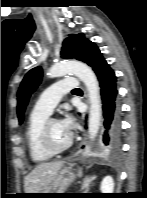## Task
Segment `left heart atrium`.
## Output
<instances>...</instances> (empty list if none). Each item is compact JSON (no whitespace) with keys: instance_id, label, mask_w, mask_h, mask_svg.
<instances>
[{"instance_id":"39dd6f15","label":"left heart atrium","mask_w":147,"mask_h":198,"mask_svg":"<svg viewBox=\"0 0 147 198\" xmlns=\"http://www.w3.org/2000/svg\"><path fill=\"white\" fill-rule=\"evenodd\" d=\"M60 124L62 128L71 135V132L74 128V120L70 115H66L61 121Z\"/></svg>"}]
</instances>
